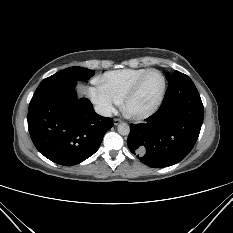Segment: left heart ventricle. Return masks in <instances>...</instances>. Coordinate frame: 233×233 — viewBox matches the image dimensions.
<instances>
[{
    "label": "left heart ventricle",
    "mask_w": 233,
    "mask_h": 233,
    "mask_svg": "<svg viewBox=\"0 0 233 233\" xmlns=\"http://www.w3.org/2000/svg\"><path fill=\"white\" fill-rule=\"evenodd\" d=\"M162 89V78L156 73H150L143 80L140 89L130 100L129 108L134 112H143L151 108L157 101Z\"/></svg>",
    "instance_id": "1"
}]
</instances>
